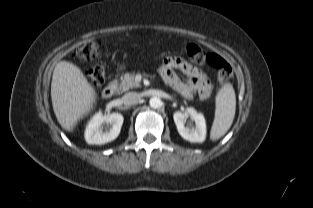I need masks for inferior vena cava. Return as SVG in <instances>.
I'll return each mask as SVG.
<instances>
[{
  "mask_svg": "<svg viewBox=\"0 0 313 208\" xmlns=\"http://www.w3.org/2000/svg\"><path fill=\"white\" fill-rule=\"evenodd\" d=\"M140 99V95L136 92H129L126 93L123 97H122V101L125 105H133L136 104L138 102V100Z\"/></svg>",
  "mask_w": 313,
  "mask_h": 208,
  "instance_id": "inferior-vena-cava-1",
  "label": "inferior vena cava"
}]
</instances>
